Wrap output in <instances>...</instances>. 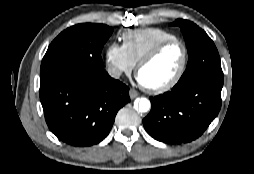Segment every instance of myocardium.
<instances>
[{
    "mask_svg": "<svg viewBox=\"0 0 254 174\" xmlns=\"http://www.w3.org/2000/svg\"><path fill=\"white\" fill-rule=\"evenodd\" d=\"M173 43H178L181 45L182 49H183V58H182V63L181 66L179 68V70L177 71V73L175 74V76L168 81L167 83L161 85V86H157V87H150V86H146L144 84H141L143 89H145L146 91L152 93V94H162L165 93L169 90H171L172 88H174L179 81L182 79L186 68H187V64H188V58H189V51H188V47L185 44V42L180 39V38H173V39H169V40H165L159 44H157L156 46H154L138 63L136 66V74L138 76L139 71L146 66L147 64H149L150 62H152L159 54L160 52L166 48L167 46L173 44Z\"/></svg>",
    "mask_w": 254,
    "mask_h": 174,
    "instance_id": "myocardium-1",
    "label": "myocardium"
}]
</instances>
